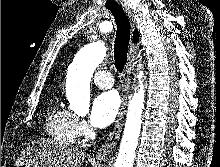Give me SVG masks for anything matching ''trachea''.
I'll list each match as a JSON object with an SVG mask.
<instances>
[{
	"label": "trachea",
	"instance_id": "obj_1",
	"mask_svg": "<svg viewBox=\"0 0 220 167\" xmlns=\"http://www.w3.org/2000/svg\"><path fill=\"white\" fill-rule=\"evenodd\" d=\"M107 8L114 16L117 25V33L114 44V65L119 73H122L127 61L131 25L128 16L119 5H113Z\"/></svg>",
	"mask_w": 220,
	"mask_h": 167
}]
</instances>
